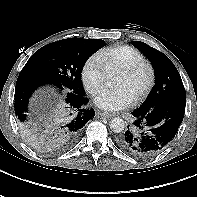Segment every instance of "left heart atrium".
<instances>
[{
    "label": "left heart atrium",
    "mask_w": 197,
    "mask_h": 197,
    "mask_svg": "<svg viewBox=\"0 0 197 197\" xmlns=\"http://www.w3.org/2000/svg\"><path fill=\"white\" fill-rule=\"evenodd\" d=\"M134 97L124 87L104 88L100 90L95 98V104L108 111L124 109L132 104Z\"/></svg>",
    "instance_id": "left-heart-atrium-1"
}]
</instances>
